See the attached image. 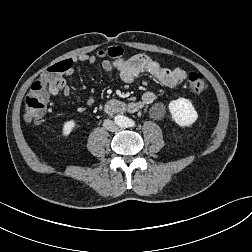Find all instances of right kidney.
I'll use <instances>...</instances> for the list:
<instances>
[{
    "mask_svg": "<svg viewBox=\"0 0 252 252\" xmlns=\"http://www.w3.org/2000/svg\"><path fill=\"white\" fill-rule=\"evenodd\" d=\"M76 126V122L74 120H70L64 123L62 128V135L68 136Z\"/></svg>",
    "mask_w": 252,
    "mask_h": 252,
    "instance_id": "obj_1",
    "label": "right kidney"
}]
</instances>
